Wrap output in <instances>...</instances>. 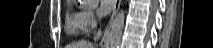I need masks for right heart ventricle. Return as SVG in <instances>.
Wrapping results in <instances>:
<instances>
[{
  "instance_id": "1",
  "label": "right heart ventricle",
  "mask_w": 213,
  "mask_h": 48,
  "mask_svg": "<svg viewBox=\"0 0 213 48\" xmlns=\"http://www.w3.org/2000/svg\"><path fill=\"white\" fill-rule=\"evenodd\" d=\"M82 11L76 10L71 4L68 5L65 15V29L71 35H81L84 33L82 22Z\"/></svg>"
}]
</instances>
